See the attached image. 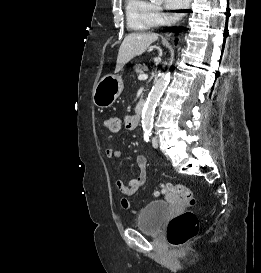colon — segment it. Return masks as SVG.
I'll use <instances>...</instances> for the list:
<instances>
[{"instance_id":"obj_1","label":"colon","mask_w":261,"mask_h":273,"mask_svg":"<svg viewBox=\"0 0 261 273\" xmlns=\"http://www.w3.org/2000/svg\"><path fill=\"white\" fill-rule=\"evenodd\" d=\"M103 125L112 132H118L121 129V119L118 116H108ZM161 193L169 197L177 196L188 206H193L196 202L194 193L184 184L166 185L162 187ZM198 228L196 215L190 211L182 212L170 221L167 239L173 246L185 245L196 237Z\"/></svg>"}]
</instances>
